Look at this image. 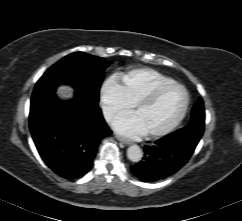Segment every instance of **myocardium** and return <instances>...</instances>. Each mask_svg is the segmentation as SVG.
Listing matches in <instances>:
<instances>
[{"label":"myocardium","mask_w":242,"mask_h":221,"mask_svg":"<svg viewBox=\"0 0 242 221\" xmlns=\"http://www.w3.org/2000/svg\"><path fill=\"white\" fill-rule=\"evenodd\" d=\"M170 86H176L183 91V94H184L183 107H182L179 115L177 116V118L166 128L159 130V131L146 133V136L150 139H157V138L166 136V135L170 134L171 132H173L180 125V123L185 118L188 108H189V103H190L189 93H188L187 89L181 83L171 80V81L157 84L156 86L151 88L144 96H142L134 104L133 110L135 112L137 109L150 104L162 90H164L165 88L170 87Z\"/></svg>","instance_id":"myocardium-1"}]
</instances>
